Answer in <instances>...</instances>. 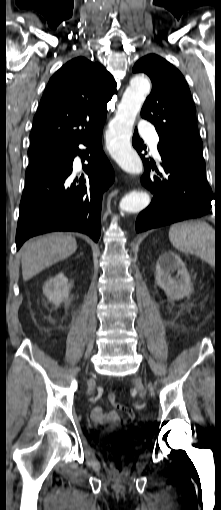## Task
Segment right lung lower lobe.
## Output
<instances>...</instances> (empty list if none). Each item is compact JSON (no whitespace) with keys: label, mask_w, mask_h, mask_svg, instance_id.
I'll list each match as a JSON object with an SVG mask.
<instances>
[{"label":"right lung lower lobe","mask_w":221,"mask_h":510,"mask_svg":"<svg viewBox=\"0 0 221 510\" xmlns=\"http://www.w3.org/2000/svg\"><path fill=\"white\" fill-rule=\"evenodd\" d=\"M102 130L103 124L58 156L28 166L16 231L17 249L30 237L52 231L81 232L98 241L102 193L114 181L101 145ZM79 144L87 146L89 165L83 166V174L76 175L74 157L83 159L84 153Z\"/></svg>","instance_id":"98d812e1"}]
</instances>
